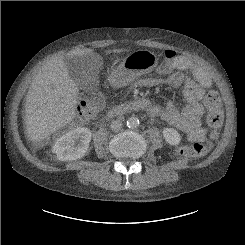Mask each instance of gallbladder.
<instances>
[{
    "label": "gallbladder",
    "mask_w": 245,
    "mask_h": 245,
    "mask_svg": "<svg viewBox=\"0 0 245 245\" xmlns=\"http://www.w3.org/2000/svg\"><path fill=\"white\" fill-rule=\"evenodd\" d=\"M66 62L69 75L79 88L86 89L98 83L96 72L94 70L92 71L86 64V58L84 56L68 58Z\"/></svg>",
    "instance_id": "obj_1"
}]
</instances>
